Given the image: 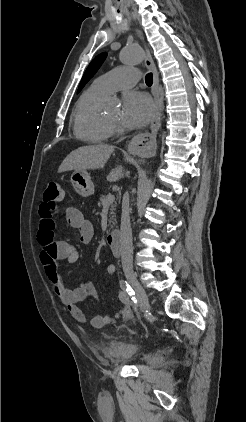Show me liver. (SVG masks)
I'll return each mask as SVG.
<instances>
[{"label": "liver", "mask_w": 246, "mask_h": 422, "mask_svg": "<svg viewBox=\"0 0 246 422\" xmlns=\"http://www.w3.org/2000/svg\"><path fill=\"white\" fill-rule=\"evenodd\" d=\"M114 151V147L106 144L85 146L71 152L58 168V173L87 169H102ZM124 176L123 167L117 166L107 176V181L116 182Z\"/></svg>", "instance_id": "obj_1"}]
</instances>
